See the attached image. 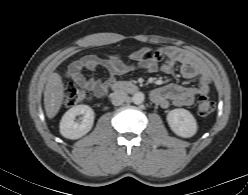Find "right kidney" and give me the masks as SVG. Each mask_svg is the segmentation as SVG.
Segmentation results:
<instances>
[{
  "label": "right kidney",
  "mask_w": 248,
  "mask_h": 195,
  "mask_svg": "<svg viewBox=\"0 0 248 195\" xmlns=\"http://www.w3.org/2000/svg\"><path fill=\"white\" fill-rule=\"evenodd\" d=\"M80 117V122H76V117ZM95 114L88 105H77L69 109L60 122V133L68 139H79L86 135L93 127Z\"/></svg>",
  "instance_id": "ca27d5eb"
}]
</instances>
